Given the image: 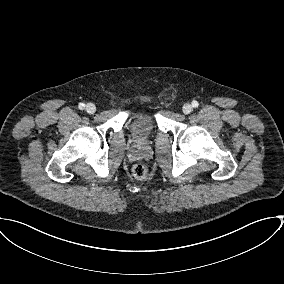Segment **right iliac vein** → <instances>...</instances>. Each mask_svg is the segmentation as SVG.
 Instances as JSON below:
<instances>
[{
	"instance_id": "obj_1",
	"label": "right iliac vein",
	"mask_w": 284,
	"mask_h": 284,
	"mask_svg": "<svg viewBox=\"0 0 284 284\" xmlns=\"http://www.w3.org/2000/svg\"><path fill=\"white\" fill-rule=\"evenodd\" d=\"M85 110L89 114H93L96 111V106L93 103H88L85 107Z\"/></svg>"
}]
</instances>
